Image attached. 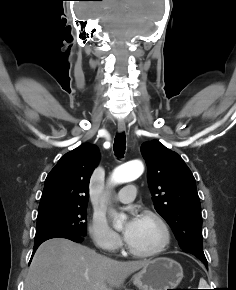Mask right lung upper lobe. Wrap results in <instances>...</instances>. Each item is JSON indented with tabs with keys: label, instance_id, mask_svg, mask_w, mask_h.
I'll use <instances>...</instances> for the list:
<instances>
[{
	"label": "right lung upper lobe",
	"instance_id": "1",
	"mask_svg": "<svg viewBox=\"0 0 236 290\" xmlns=\"http://www.w3.org/2000/svg\"><path fill=\"white\" fill-rule=\"evenodd\" d=\"M98 161V149L91 144H83L61 157L45 180L39 209L87 206L89 181Z\"/></svg>",
	"mask_w": 236,
	"mask_h": 290
}]
</instances>
